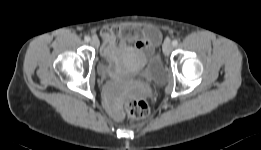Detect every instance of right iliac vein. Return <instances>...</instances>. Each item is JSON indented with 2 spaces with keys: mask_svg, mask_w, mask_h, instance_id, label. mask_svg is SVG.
Here are the masks:
<instances>
[{
  "mask_svg": "<svg viewBox=\"0 0 261 150\" xmlns=\"http://www.w3.org/2000/svg\"><path fill=\"white\" fill-rule=\"evenodd\" d=\"M90 44H91L92 46H94V47H98V45H99V40H98V38L93 37V38L90 40Z\"/></svg>",
  "mask_w": 261,
  "mask_h": 150,
  "instance_id": "1",
  "label": "right iliac vein"
}]
</instances>
